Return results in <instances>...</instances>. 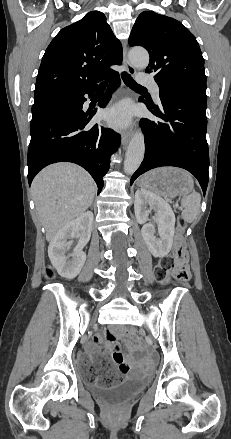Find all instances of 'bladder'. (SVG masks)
Masks as SVG:
<instances>
[{
	"label": "bladder",
	"instance_id": "obj_1",
	"mask_svg": "<svg viewBox=\"0 0 231 439\" xmlns=\"http://www.w3.org/2000/svg\"><path fill=\"white\" fill-rule=\"evenodd\" d=\"M104 370V367H102ZM76 371L87 379L97 371V366L92 358L82 356L76 362ZM149 383L146 377L125 379L111 386H91L94 397L106 401H121L141 392Z\"/></svg>",
	"mask_w": 231,
	"mask_h": 439
}]
</instances>
